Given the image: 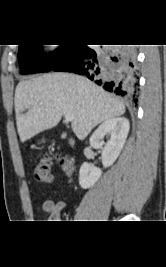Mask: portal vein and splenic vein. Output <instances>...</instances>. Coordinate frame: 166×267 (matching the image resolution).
<instances>
[{
    "mask_svg": "<svg viewBox=\"0 0 166 267\" xmlns=\"http://www.w3.org/2000/svg\"><path fill=\"white\" fill-rule=\"evenodd\" d=\"M65 120H66L67 122H71V121H73V120H74V115L71 114V113L66 114V115H65Z\"/></svg>",
    "mask_w": 166,
    "mask_h": 267,
    "instance_id": "18ae733b",
    "label": "portal vein and splenic vein"
}]
</instances>
